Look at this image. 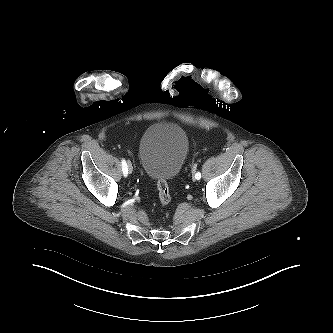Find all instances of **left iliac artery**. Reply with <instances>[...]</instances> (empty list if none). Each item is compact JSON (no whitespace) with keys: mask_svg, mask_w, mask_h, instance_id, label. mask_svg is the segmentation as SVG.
<instances>
[{"mask_svg":"<svg viewBox=\"0 0 333 333\" xmlns=\"http://www.w3.org/2000/svg\"><path fill=\"white\" fill-rule=\"evenodd\" d=\"M195 178L197 180H199L201 178V173L199 171L195 174Z\"/></svg>","mask_w":333,"mask_h":333,"instance_id":"1","label":"left iliac artery"}]
</instances>
